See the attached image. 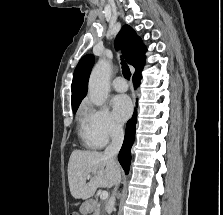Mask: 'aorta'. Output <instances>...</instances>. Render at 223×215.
<instances>
[{
	"label": "aorta",
	"mask_w": 223,
	"mask_h": 215,
	"mask_svg": "<svg viewBox=\"0 0 223 215\" xmlns=\"http://www.w3.org/2000/svg\"><path fill=\"white\" fill-rule=\"evenodd\" d=\"M111 72V64H109L105 58H100L91 72L88 90L89 98L95 106H103L104 102L107 100V96L110 92L109 82Z\"/></svg>",
	"instance_id": "aorta-1"
}]
</instances>
